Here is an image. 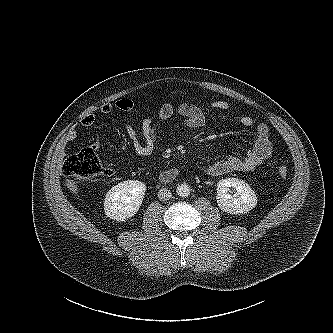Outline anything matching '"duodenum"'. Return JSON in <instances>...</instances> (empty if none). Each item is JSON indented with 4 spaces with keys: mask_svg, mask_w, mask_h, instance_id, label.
I'll list each match as a JSON object with an SVG mask.
<instances>
[{
    "mask_svg": "<svg viewBox=\"0 0 333 333\" xmlns=\"http://www.w3.org/2000/svg\"><path fill=\"white\" fill-rule=\"evenodd\" d=\"M177 176H178V170L168 169L160 174L159 179L161 182L168 183L173 181Z\"/></svg>",
    "mask_w": 333,
    "mask_h": 333,
    "instance_id": "1",
    "label": "duodenum"
}]
</instances>
